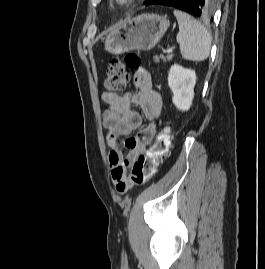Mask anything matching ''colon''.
Returning a JSON list of instances; mask_svg holds the SVG:
<instances>
[{"mask_svg":"<svg viewBox=\"0 0 265 269\" xmlns=\"http://www.w3.org/2000/svg\"><path fill=\"white\" fill-rule=\"evenodd\" d=\"M140 67L141 59L138 54L133 52L127 53L123 57L112 58L107 69L104 83L105 90L112 93L124 90L128 83L127 68L139 70ZM170 144V131L167 127H164L158 133L152 146L134 161L129 183L141 185L151 179L160 162L168 153ZM118 191L125 192L122 187Z\"/></svg>","mask_w":265,"mask_h":269,"instance_id":"1","label":"colon"}]
</instances>
